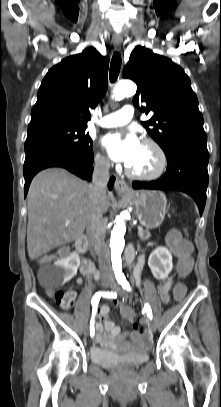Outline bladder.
<instances>
[{
	"mask_svg": "<svg viewBox=\"0 0 221 407\" xmlns=\"http://www.w3.org/2000/svg\"><path fill=\"white\" fill-rule=\"evenodd\" d=\"M89 357L94 365L104 368L136 367L148 359L145 352L124 353L111 348L96 346L90 348Z\"/></svg>",
	"mask_w": 221,
	"mask_h": 407,
	"instance_id": "31cf9c89",
	"label": "bladder"
}]
</instances>
